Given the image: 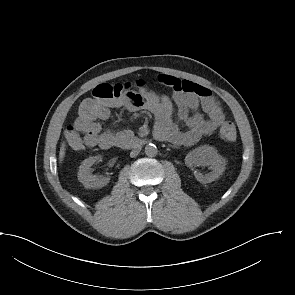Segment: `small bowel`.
<instances>
[{"label":"small bowel","mask_w":295,"mask_h":295,"mask_svg":"<svg viewBox=\"0 0 295 295\" xmlns=\"http://www.w3.org/2000/svg\"><path fill=\"white\" fill-rule=\"evenodd\" d=\"M158 80L173 90L172 99L152 90L132 91L109 103L96 105L88 114L80 112L66 130L69 146L74 150L114 147L116 139L128 132L102 131L99 121L110 117L111 108L151 112L155 117L154 136L177 146H192L222 125L225 115L208 88L172 75H160ZM175 107L177 121H174Z\"/></svg>","instance_id":"obj_1"}]
</instances>
